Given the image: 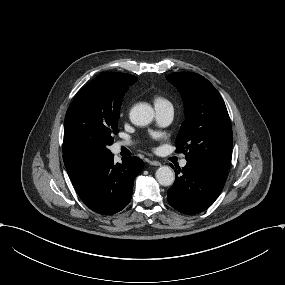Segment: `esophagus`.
<instances>
[{
    "label": "esophagus",
    "mask_w": 285,
    "mask_h": 285,
    "mask_svg": "<svg viewBox=\"0 0 285 285\" xmlns=\"http://www.w3.org/2000/svg\"><path fill=\"white\" fill-rule=\"evenodd\" d=\"M149 164L153 165V166H160L161 165V163L159 161H149Z\"/></svg>",
    "instance_id": "esophagus-1"
}]
</instances>
